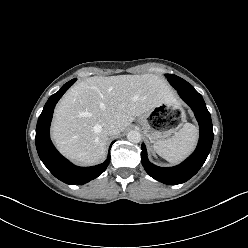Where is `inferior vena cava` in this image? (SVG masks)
I'll use <instances>...</instances> for the list:
<instances>
[{
	"label": "inferior vena cava",
	"instance_id": "602c4592",
	"mask_svg": "<svg viewBox=\"0 0 248 248\" xmlns=\"http://www.w3.org/2000/svg\"><path fill=\"white\" fill-rule=\"evenodd\" d=\"M108 135H117L121 132L120 127L116 121H109L104 128Z\"/></svg>",
	"mask_w": 248,
	"mask_h": 248
}]
</instances>
